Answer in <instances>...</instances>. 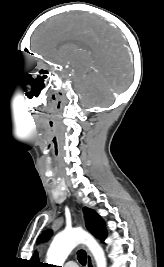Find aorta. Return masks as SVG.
<instances>
[{
  "mask_svg": "<svg viewBox=\"0 0 164 267\" xmlns=\"http://www.w3.org/2000/svg\"><path fill=\"white\" fill-rule=\"evenodd\" d=\"M79 244H85L88 247L97 267L107 266L102 247L90 234L79 229L64 231L55 236L47 252L48 264L62 266L71 251Z\"/></svg>",
  "mask_w": 164,
  "mask_h": 267,
  "instance_id": "762f6f07",
  "label": "aorta"
}]
</instances>
